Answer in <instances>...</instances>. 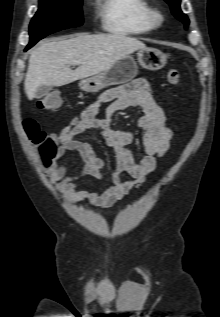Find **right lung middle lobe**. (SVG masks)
Returning a JSON list of instances; mask_svg holds the SVG:
<instances>
[{"mask_svg":"<svg viewBox=\"0 0 220 317\" xmlns=\"http://www.w3.org/2000/svg\"><path fill=\"white\" fill-rule=\"evenodd\" d=\"M82 0H39V9L30 23V43L54 32L82 25Z\"/></svg>","mask_w":220,"mask_h":317,"instance_id":"obj_1","label":"right lung middle lobe"}]
</instances>
